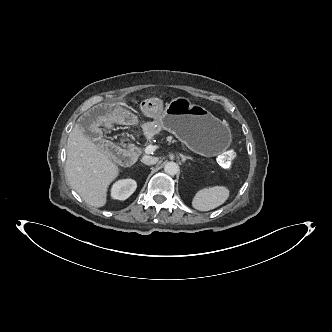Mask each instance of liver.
<instances>
[{
  "mask_svg": "<svg viewBox=\"0 0 332 332\" xmlns=\"http://www.w3.org/2000/svg\"><path fill=\"white\" fill-rule=\"evenodd\" d=\"M65 172L69 184L81 198L99 208L106 204L108 187L118 177L119 168L76 124L67 141Z\"/></svg>",
  "mask_w": 332,
  "mask_h": 332,
  "instance_id": "6515ba94",
  "label": "liver"
}]
</instances>
